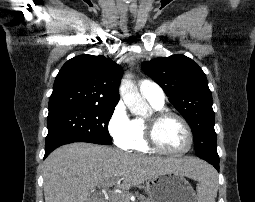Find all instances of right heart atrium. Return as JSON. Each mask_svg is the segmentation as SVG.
<instances>
[{"mask_svg": "<svg viewBox=\"0 0 255 202\" xmlns=\"http://www.w3.org/2000/svg\"><path fill=\"white\" fill-rule=\"evenodd\" d=\"M131 122L124 104H117L110 115L107 129L112 141L119 148H130L132 141Z\"/></svg>", "mask_w": 255, "mask_h": 202, "instance_id": "1", "label": "right heart atrium"}]
</instances>
